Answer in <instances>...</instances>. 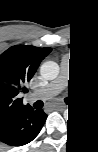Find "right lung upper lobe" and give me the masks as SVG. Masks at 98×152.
<instances>
[{
    "label": "right lung upper lobe",
    "mask_w": 98,
    "mask_h": 152,
    "mask_svg": "<svg viewBox=\"0 0 98 152\" xmlns=\"http://www.w3.org/2000/svg\"><path fill=\"white\" fill-rule=\"evenodd\" d=\"M51 51L49 47L16 45L0 55V129L31 107L23 105L18 94L28 92L24 84L30 81Z\"/></svg>",
    "instance_id": "cb5924a9"
}]
</instances>
